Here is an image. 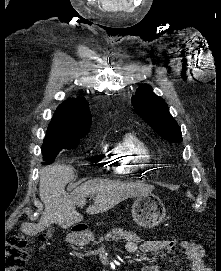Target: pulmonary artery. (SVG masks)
<instances>
[{
	"label": "pulmonary artery",
	"mask_w": 221,
	"mask_h": 271,
	"mask_svg": "<svg viewBox=\"0 0 221 271\" xmlns=\"http://www.w3.org/2000/svg\"><path fill=\"white\" fill-rule=\"evenodd\" d=\"M128 136L131 138L133 135L130 133Z\"/></svg>",
	"instance_id": "e3ab8cb5"
}]
</instances>
